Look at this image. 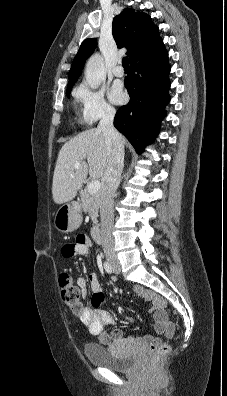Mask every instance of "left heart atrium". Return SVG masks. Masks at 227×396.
I'll use <instances>...</instances> for the list:
<instances>
[{
    "label": "left heart atrium",
    "mask_w": 227,
    "mask_h": 396,
    "mask_svg": "<svg viewBox=\"0 0 227 396\" xmlns=\"http://www.w3.org/2000/svg\"><path fill=\"white\" fill-rule=\"evenodd\" d=\"M109 97H110L111 101H113L114 103H117V104L123 103L125 100V94H124L121 86H119V85H114L111 88Z\"/></svg>",
    "instance_id": "obj_1"
}]
</instances>
